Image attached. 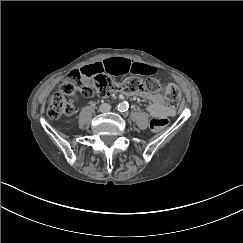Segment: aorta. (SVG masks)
Listing matches in <instances>:
<instances>
[{"mask_svg": "<svg viewBox=\"0 0 243 243\" xmlns=\"http://www.w3.org/2000/svg\"><path fill=\"white\" fill-rule=\"evenodd\" d=\"M126 109H127V105H126V103L122 102V103H120V104L118 105V110H119V111L123 112V111H125Z\"/></svg>", "mask_w": 243, "mask_h": 243, "instance_id": "aorta-1", "label": "aorta"}]
</instances>
